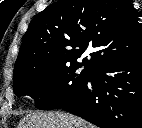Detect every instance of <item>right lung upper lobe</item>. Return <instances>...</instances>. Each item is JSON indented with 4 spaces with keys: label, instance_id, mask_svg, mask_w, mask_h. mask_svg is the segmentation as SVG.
<instances>
[{
    "label": "right lung upper lobe",
    "instance_id": "cb5924a9",
    "mask_svg": "<svg viewBox=\"0 0 142 128\" xmlns=\"http://www.w3.org/2000/svg\"><path fill=\"white\" fill-rule=\"evenodd\" d=\"M91 59L76 60L86 49ZM142 49L138 15L129 0H59L38 13L25 33L14 76L38 64L94 69Z\"/></svg>",
    "mask_w": 142,
    "mask_h": 128
}]
</instances>
